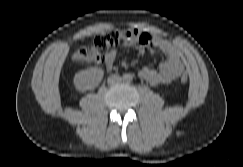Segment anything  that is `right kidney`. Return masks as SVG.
<instances>
[{
	"label": "right kidney",
	"mask_w": 243,
	"mask_h": 167,
	"mask_svg": "<svg viewBox=\"0 0 243 167\" xmlns=\"http://www.w3.org/2000/svg\"><path fill=\"white\" fill-rule=\"evenodd\" d=\"M103 70L93 67L79 71L74 77V86L79 92L92 90L99 85L103 78Z\"/></svg>",
	"instance_id": "right-kidney-1"
}]
</instances>
